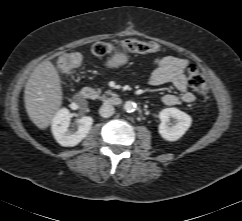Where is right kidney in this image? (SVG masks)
<instances>
[{"instance_id": "ca27d5eb", "label": "right kidney", "mask_w": 242, "mask_h": 221, "mask_svg": "<svg viewBox=\"0 0 242 221\" xmlns=\"http://www.w3.org/2000/svg\"><path fill=\"white\" fill-rule=\"evenodd\" d=\"M79 126L76 131L69 130L70 112L66 108L60 109L52 119V133L56 141L64 147H73L79 144L89 133L93 119L89 116L77 120Z\"/></svg>"}]
</instances>
